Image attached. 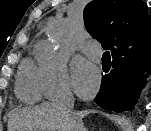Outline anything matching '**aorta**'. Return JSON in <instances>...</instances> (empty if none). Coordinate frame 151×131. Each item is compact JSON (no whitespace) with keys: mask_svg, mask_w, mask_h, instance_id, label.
<instances>
[{"mask_svg":"<svg viewBox=\"0 0 151 131\" xmlns=\"http://www.w3.org/2000/svg\"><path fill=\"white\" fill-rule=\"evenodd\" d=\"M64 31H65L64 27L59 26L54 27L49 33V37L52 40V42L57 44L61 40Z\"/></svg>","mask_w":151,"mask_h":131,"instance_id":"aorta-1","label":"aorta"}]
</instances>
